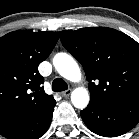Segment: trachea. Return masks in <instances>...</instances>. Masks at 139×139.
<instances>
[{
  "instance_id": "trachea-1",
  "label": "trachea",
  "mask_w": 139,
  "mask_h": 139,
  "mask_svg": "<svg viewBox=\"0 0 139 139\" xmlns=\"http://www.w3.org/2000/svg\"><path fill=\"white\" fill-rule=\"evenodd\" d=\"M67 89H68L67 83L61 78H56L52 83V90L54 92H61Z\"/></svg>"
}]
</instances>
